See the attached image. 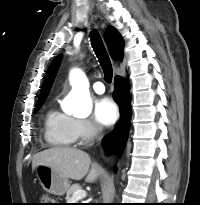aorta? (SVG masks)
<instances>
[{
    "mask_svg": "<svg viewBox=\"0 0 200 205\" xmlns=\"http://www.w3.org/2000/svg\"><path fill=\"white\" fill-rule=\"evenodd\" d=\"M70 83L72 85L70 110L80 118L89 116L92 111V101L86 75L80 69H74L70 74Z\"/></svg>",
    "mask_w": 200,
    "mask_h": 205,
    "instance_id": "aorta-1",
    "label": "aorta"
}]
</instances>
